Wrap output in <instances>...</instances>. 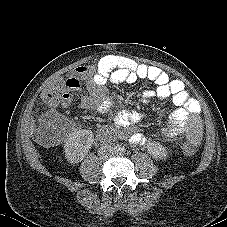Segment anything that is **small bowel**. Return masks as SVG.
<instances>
[{
  "instance_id": "c3829d8e",
  "label": "small bowel",
  "mask_w": 227,
  "mask_h": 227,
  "mask_svg": "<svg viewBox=\"0 0 227 227\" xmlns=\"http://www.w3.org/2000/svg\"><path fill=\"white\" fill-rule=\"evenodd\" d=\"M139 80L151 81L156 86L155 89L146 90L143 93V102L153 98L170 99L172 104L178 107L172 113L168 125L162 129L161 135L171 140L180 138L184 133V124L189 115L198 112V107L188 97L183 82L171 79L167 72L157 66L141 64L127 57L109 55L101 58L96 66L77 67L72 76L63 80L65 88L62 105L70 106L74 102L73 92L85 87L89 95L82 98V107L96 109L99 114L104 115L110 109V102L100 100L102 88L108 83L133 84ZM54 118L60 117L54 114L52 119ZM139 118L140 115L120 116L117 119V127L123 129ZM128 137L133 145H145L149 141L148 135L142 131L132 132Z\"/></svg>"
}]
</instances>
